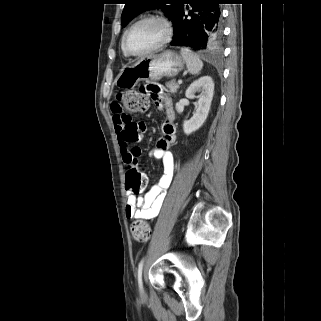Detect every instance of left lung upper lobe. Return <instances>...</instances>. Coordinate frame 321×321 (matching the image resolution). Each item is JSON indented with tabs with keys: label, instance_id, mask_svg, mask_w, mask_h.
I'll use <instances>...</instances> for the list:
<instances>
[{
	"label": "left lung upper lobe",
	"instance_id": "5c2ea615",
	"mask_svg": "<svg viewBox=\"0 0 321 321\" xmlns=\"http://www.w3.org/2000/svg\"><path fill=\"white\" fill-rule=\"evenodd\" d=\"M183 0H125L121 15L122 26L125 27L138 14L155 8H161L164 14L172 20Z\"/></svg>",
	"mask_w": 321,
	"mask_h": 321
}]
</instances>
